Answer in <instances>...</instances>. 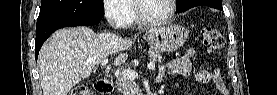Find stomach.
<instances>
[{
	"instance_id": "1",
	"label": "stomach",
	"mask_w": 277,
	"mask_h": 95,
	"mask_svg": "<svg viewBox=\"0 0 277 95\" xmlns=\"http://www.w3.org/2000/svg\"><path fill=\"white\" fill-rule=\"evenodd\" d=\"M187 30L180 25H168L149 31L146 39L149 45L159 51L173 52L182 47L187 39Z\"/></svg>"
}]
</instances>
